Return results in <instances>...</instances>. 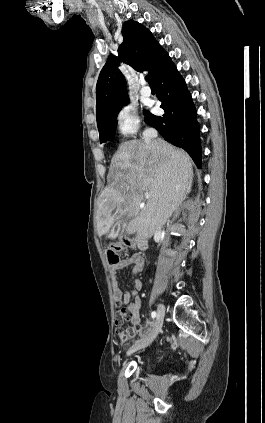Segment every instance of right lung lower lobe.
Here are the masks:
<instances>
[{"label":"right lung lower lobe","instance_id":"1","mask_svg":"<svg viewBox=\"0 0 265 423\" xmlns=\"http://www.w3.org/2000/svg\"><path fill=\"white\" fill-rule=\"evenodd\" d=\"M162 102L163 116H155L145 111V122L156 128L164 139L171 144L183 148L201 166V144L199 124L196 110L186 83L176 66L170 61L153 78Z\"/></svg>","mask_w":265,"mask_h":423}]
</instances>
